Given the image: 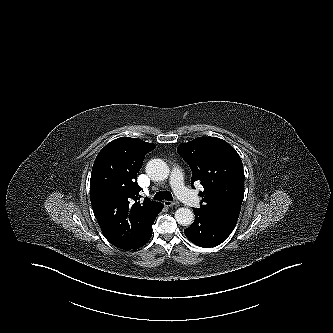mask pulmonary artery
<instances>
[{
  "label": "pulmonary artery",
  "mask_w": 333,
  "mask_h": 333,
  "mask_svg": "<svg viewBox=\"0 0 333 333\" xmlns=\"http://www.w3.org/2000/svg\"><path fill=\"white\" fill-rule=\"evenodd\" d=\"M170 184L174 189L177 197L191 207L200 206L199 197L194 195L184 184L183 174L179 169H174L171 173Z\"/></svg>",
  "instance_id": "pulmonary-artery-1"
}]
</instances>
